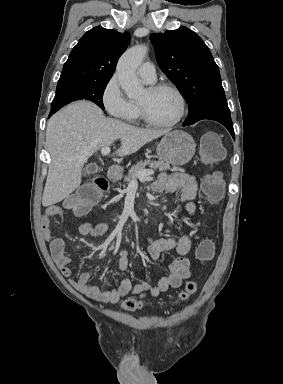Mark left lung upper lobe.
I'll return each instance as SVG.
<instances>
[{
    "mask_svg": "<svg viewBox=\"0 0 283 384\" xmlns=\"http://www.w3.org/2000/svg\"><path fill=\"white\" fill-rule=\"evenodd\" d=\"M157 62L189 105L185 124L209 117L230 116L220 72L203 40L192 30H176L150 36Z\"/></svg>",
    "mask_w": 283,
    "mask_h": 384,
    "instance_id": "1",
    "label": "left lung upper lobe"
}]
</instances>
